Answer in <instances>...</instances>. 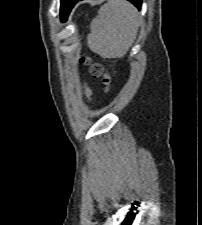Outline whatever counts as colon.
<instances>
[{
	"instance_id": "5ec220e1",
	"label": "colon",
	"mask_w": 202,
	"mask_h": 225,
	"mask_svg": "<svg viewBox=\"0 0 202 225\" xmlns=\"http://www.w3.org/2000/svg\"><path fill=\"white\" fill-rule=\"evenodd\" d=\"M83 61L89 63L87 58H83ZM89 67L91 75L97 78H102V82L106 88L112 84L115 77V73L113 71L106 70L99 63H89ZM91 96V89L89 86H86V97L90 99Z\"/></svg>"
}]
</instances>
